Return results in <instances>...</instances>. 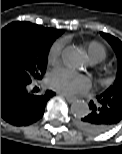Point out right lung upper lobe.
Wrapping results in <instances>:
<instances>
[{
  "label": "right lung upper lobe",
  "instance_id": "1",
  "mask_svg": "<svg viewBox=\"0 0 122 154\" xmlns=\"http://www.w3.org/2000/svg\"><path fill=\"white\" fill-rule=\"evenodd\" d=\"M36 29L40 30V31H43V32H56L57 30L56 29H51V28H44L42 26H39V25H34Z\"/></svg>",
  "mask_w": 122,
  "mask_h": 154
}]
</instances>
